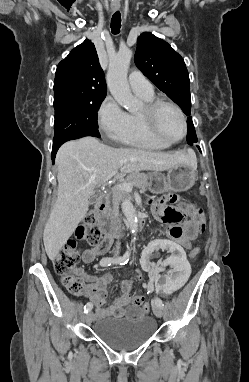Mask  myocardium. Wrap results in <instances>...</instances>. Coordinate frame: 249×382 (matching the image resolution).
<instances>
[{
  "label": "myocardium",
  "mask_w": 249,
  "mask_h": 382,
  "mask_svg": "<svg viewBox=\"0 0 249 382\" xmlns=\"http://www.w3.org/2000/svg\"><path fill=\"white\" fill-rule=\"evenodd\" d=\"M163 106H169V107L173 108L181 118V121L183 124V134L178 139H170V138L166 137L165 135H163V133L160 131V129L158 127L157 115H158V111ZM140 116H141L146 128L150 132V134L152 136H154L156 139H158L164 143H167V144L178 143V142L182 141L187 135L188 123H187L186 115L183 112V110L181 109V107L172 101L165 100V99H154L151 102H147L144 105L143 110L140 112Z\"/></svg>",
  "instance_id": "1"
}]
</instances>
